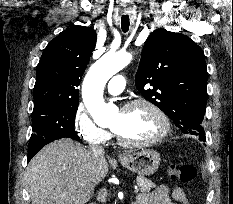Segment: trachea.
Masks as SVG:
<instances>
[{
    "instance_id": "trachea-1",
    "label": "trachea",
    "mask_w": 233,
    "mask_h": 204,
    "mask_svg": "<svg viewBox=\"0 0 233 204\" xmlns=\"http://www.w3.org/2000/svg\"><path fill=\"white\" fill-rule=\"evenodd\" d=\"M129 16L128 15H122L121 18V28L124 33H126L129 30Z\"/></svg>"
}]
</instances>
